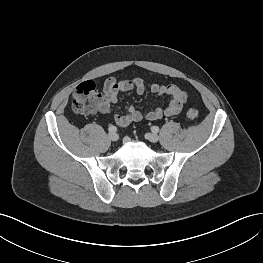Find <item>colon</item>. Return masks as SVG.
<instances>
[{
  "mask_svg": "<svg viewBox=\"0 0 263 263\" xmlns=\"http://www.w3.org/2000/svg\"><path fill=\"white\" fill-rule=\"evenodd\" d=\"M100 97L96 84L93 81H85L79 84L72 97L71 108L75 113H93ZM190 119L198 117V111L190 108L187 112Z\"/></svg>",
  "mask_w": 263,
  "mask_h": 263,
  "instance_id": "obj_1",
  "label": "colon"
}]
</instances>
